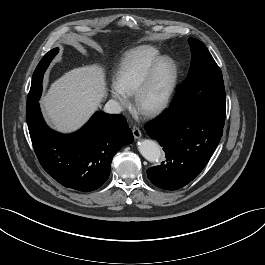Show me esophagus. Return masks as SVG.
<instances>
[{
	"label": "esophagus",
	"instance_id": "1",
	"mask_svg": "<svg viewBox=\"0 0 265 265\" xmlns=\"http://www.w3.org/2000/svg\"><path fill=\"white\" fill-rule=\"evenodd\" d=\"M132 133L135 139H140L142 137L141 130L137 126L132 128Z\"/></svg>",
	"mask_w": 265,
	"mask_h": 265
}]
</instances>
